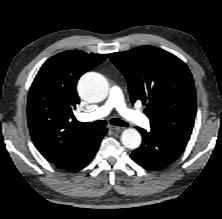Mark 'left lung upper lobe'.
Wrapping results in <instances>:
<instances>
[{"mask_svg":"<svg viewBox=\"0 0 222 219\" xmlns=\"http://www.w3.org/2000/svg\"><path fill=\"white\" fill-rule=\"evenodd\" d=\"M109 56L128 81L131 101L146 104L151 127L188 141L196 115V92L187 65L148 45Z\"/></svg>","mask_w":222,"mask_h":219,"instance_id":"1","label":"left lung upper lobe"}]
</instances>
